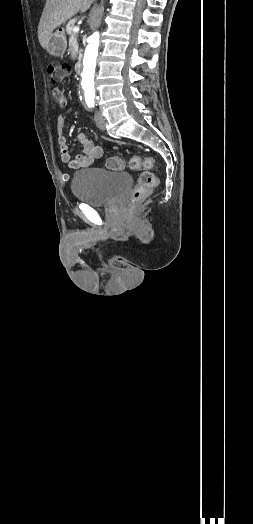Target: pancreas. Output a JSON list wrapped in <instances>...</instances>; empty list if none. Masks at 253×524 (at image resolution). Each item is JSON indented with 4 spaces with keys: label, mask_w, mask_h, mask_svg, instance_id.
Segmentation results:
<instances>
[{
    "label": "pancreas",
    "mask_w": 253,
    "mask_h": 524,
    "mask_svg": "<svg viewBox=\"0 0 253 524\" xmlns=\"http://www.w3.org/2000/svg\"><path fill=\"white\" fill-rule=\"evenodd\" d=\"M76 19H71L67 25H66V32L70 35V36H76L77 35V32H74L73 31V28L75 27V23H76Z\"/></svg>",
    "instance_id": "pancreas-1"
}]
</instances>
